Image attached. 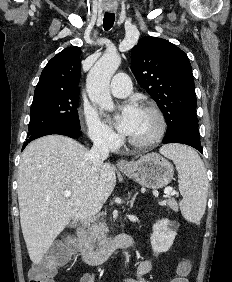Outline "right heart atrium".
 Listing matches in <instances>:
<instances>
[{
  "label": "right heart atrium",
  "instance_id": "right-heart-atrium-1",
  "mask_svg": "<svg viewBox=\"0 0 232 282\" xmlns=\"http://www.w3.org/2000/svg\"><path fill=\"white\" fill-rule=\"evenodd\" d=\"M81 114L88 136L94 143L109 149H112L117 145L118 136L101 120L94 108L84 106Z\"/></svg>",
  "mask_w": 232,
  "mask_h": 282
}]
</instances>
